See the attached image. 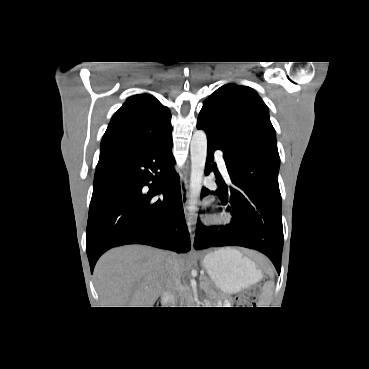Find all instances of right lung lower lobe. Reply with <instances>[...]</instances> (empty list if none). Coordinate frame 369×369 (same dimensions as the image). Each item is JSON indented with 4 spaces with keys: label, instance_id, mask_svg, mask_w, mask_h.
I'll list each match as a JSON object with an SVG mask.
<instances>
[{
    "label": "right lung lower lobe",
    "instance_id": "obj_1",
    "mask_svg": "<svg viewBox=\"0 0 369 369\" xmlns=\"http://www.w3.org/2000/svg\"><path fill=\"white\" fill-rule=\"evenodd\" d=\"M172 146L169 135L97 165L86 232L91 272L105 251L121 245L191 249Z\"/></svg>",
    "mask_w": 369,
    "mask_h": 369
}]
</instances>
